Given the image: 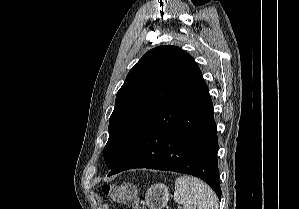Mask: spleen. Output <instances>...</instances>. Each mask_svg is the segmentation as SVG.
I'll return each instance as SVG.
<instances>
[{"label": "spleen", "instance_id": "1", "mask_svg": "<svg viewBox=\"0 0 299 209\" xmlns=\"http://www.w3.org/2000/svg\"><path fill=\"white\" fill-rule=\"evenodd\" d=\"M174 200L184 209H218L217 196L210 186L191 176L176 179Z\"/></svg>", "mask_w": 299, "mask_h": 209}]
</instances>
